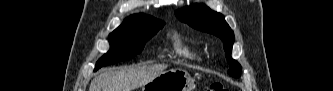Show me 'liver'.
Instances as JSON below:
<instances>
[{"label":"liver","mask_w":333,"mask_h":91,"mask_svg":"<svg viewBox=\"0 0 333 91\" xmlns=\"http://www.w3.org/2000/svg\"><path fill=\"white\" fill-rule=\"evenodd\" d=\"M166 64L123 67L95 77L89 91H134L164 72Z\"/></svg>","instance_id":"1"}]
</instances>
